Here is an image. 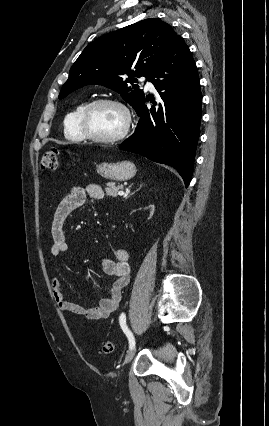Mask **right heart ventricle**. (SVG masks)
Listing matches in <instances>:
<instances>
[{
	"mask_svg": "<svg viewBox=\"0 0 269 426\" xmlns=\"http://www.w3.org/2000/svg\"><path fill=\"white\" fill-rule=\"evenodd\" d=\"M87 103V101L78 103L66 114L64 119V133L68 139L74 141H83L86 139L80 127V116Z\"/></svg>",
	"mask_w": 269,
	"mask_h": 426,
	"instance_id": "e07e8e85",
	"label": "right heart ventricle"
}]
</instances>
